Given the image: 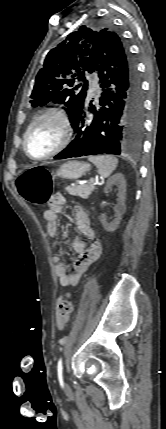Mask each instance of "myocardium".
Listing matches in <instances>:
<instances>
[{
	"label": "myocardium",
	"instance_id": "1",
	"mask_svg": "<svg viewBox=\"0 0 166 429\" xmlns=\"http://www.w3.org/2000/svg\"><path fill=\"white\" fill-rule=\"evenodd\" d=\"M45 119H54L56 121L59 122L60 126H61V139L59 144L48 154L42 156V157H34L32 156L27 148V141H28V137L30 132L32 131V129L42 120ZM71 136H72V127H71V121L69 118V115L67 113V111L65 109H63L62 107L59 106H55V107H50L46 110H44L43 112H41L39 115H37L33 121L29 124V126L27 127L24 135H23V151L26 154V156L34 161H43V160H47L50 159L54 156H56L57 154H59L61 151H63L68 144L70 143L71 140Z\"/></svg>",
	"mask_w": 166,
	"mask_h": 429
}]
</instances>
